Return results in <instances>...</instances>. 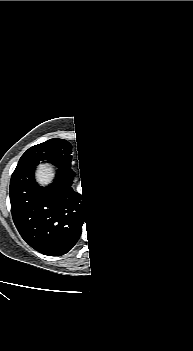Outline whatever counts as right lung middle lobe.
<instances>
[{
    "label": "right lung middle lobe",
    "mask_w": 193,
    "mask_h": 351,
    "mask_svg": "<svg viewBox=\"0 0 193 351\" xmlns=\"http://www.w3.org/2000/svg\"><path fill=\"white\" fill-rule=\"evenodd\" d=\"M77 150L80 161V169L83 172L86 159L96 150L102 147V143L94 138L86 139L77 136ZM72 147L63 139H50L29 148L20 158V161L42 160L51 161L53 164L71 166Z\"/></svg>",
    "instance_id": "1"
}]
</instances>
